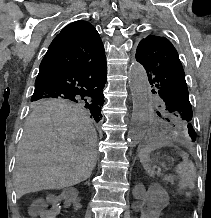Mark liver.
I'll list each match as a JSON object with an SVG mask.
<instances>
[{
    "label": "liver",
    "instance_id": "1",
    "mask_svg": "<svg viewBox=\"0 0 211 218\" xmlns=\"http://www.w3.org/2000/svg\"><path fill=\"white\" fill-rule=\"evenodd\" d=\"M96 162L97 136L83 110L35 108L17 150V196L75 186L90 178Z\"/></svg>",
    "mask_w": 211,
    "mask_h": 218
}]
</instances>
